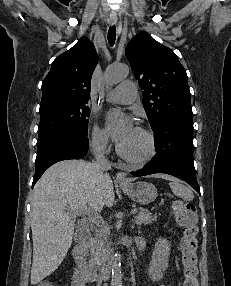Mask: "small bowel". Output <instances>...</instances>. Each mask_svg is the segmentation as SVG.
I'll use <instances>...</instances> for the list:
<instances>
[{"mask_svg":"<svg viewBox=\"0 0 231 286\" xmlns=\"http://www.w3.org/2000/svg\"><path fill=\"white\" fill-rule=\"evenodd\" d=\"M161 286H170V285H161Z\"/></svg>","mask_w":231,"mask_h":286,"instance_id":"c3829d8e","label":"small bowel"}]
</instances>
